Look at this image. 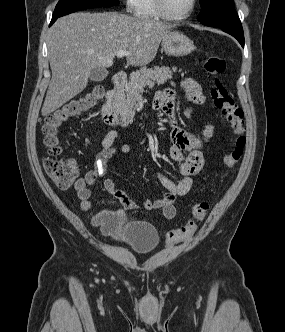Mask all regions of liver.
<instances>
[{
	"label": "liver",
	"instance_id": "1",
	"mask_svg": "<svg viewBox=\"0 0 285 332\" xmlns=\"http://www.w3.org/2000/svg\"><path fill=\"white\" fill-rule=\"evenodd\" d=\"M172 25L116 12H77L59 18L48 40L51 82L42 107L47 116L81 93L95 67H111L117 51L144 66L156 56Z\"/></svg>",
	"mask_w": 285,
	"mask_h": 332
}]
</instances>
